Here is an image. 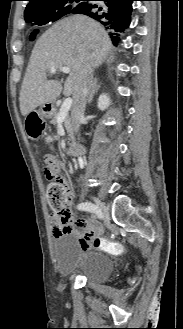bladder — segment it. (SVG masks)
<instances>
[{
	"instance_id": "bladder-1",
	"label": "bladder",
	"mask_w": 183,
	"mask_h": 329,
	"mask_svg": "<svg viewBox=\"0 0 183 329\" xmlns=\"http://www.w3.org/2000/svg\"><path fill=\"white\" fill-rule=\"evenodd\" d=\"M53 255L59 273L65 277L102 283L113 270L108 255L98 250L85 253L72 233H64L54 240Z\"/></svg>"
}]
</instances>
